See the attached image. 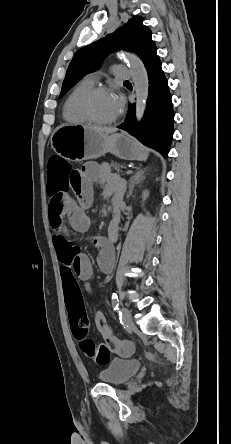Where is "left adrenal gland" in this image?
I'll return each mask as SVG.
<instances>
[{"label": "left adrenal gland", "instance_id": "a2214340", "mask_svg": "<svg viewBox=\"0 0 231 444\" xmlns=\"http://www.w3.org/2000/svg\"><path fill=\"white\" fill-rule=\"evenodd\" d=\"M144 178V171L138 168V171L129 180V191L127 198H130V196L132 195L134 186L140 183Z\"/></svg>", "mask_w": 231, "mask_h": 444}]
</instances>
